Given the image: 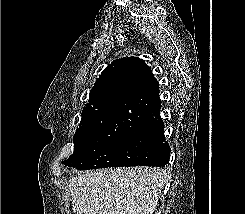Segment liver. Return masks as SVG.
Wrapping results in <instances>:
<instances>
[{"instance_id": "obj_1", "label": "liver", "mask_w": 245, "mask_h": 214, "mask_svg": "<svg viewBox=\"0 0 245 214\" xmlns=\"http://www.w3.org/2000/svg\"><path fill=\"white\" fill-rule=\"evenodd\" d=\"M167 183L166 171L153 167L109 168L69 180L76 214H153Z\"/></svg>"}]
</instances>
